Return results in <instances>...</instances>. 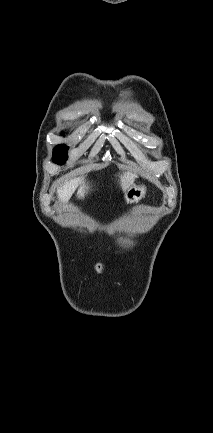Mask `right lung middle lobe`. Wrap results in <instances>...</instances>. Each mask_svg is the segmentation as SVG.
<instances>
[{
    "label": "right lung middle lobe",
    "instance_id": "right-lung-middle-lobe-1",
    "mask_svg": "<svg viewBox=\"0 0 213 433\" xmlns=\"http://www.w3.org/2000/svg\"><path fill=\"white\" fill-rule=\"evenodd\" d=\"M68 158V147L64 144L57 145L53 149L52 160L56 164H64Z\"/></svg>",
    "mask_w": 213,
    "mask_h": 433
}]
</instances>
